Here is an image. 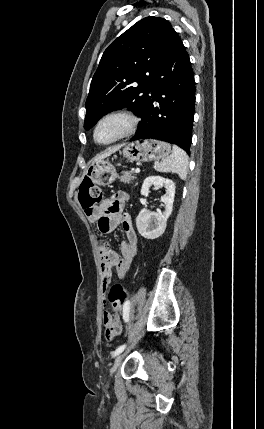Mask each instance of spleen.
Wrapping results in <instances>:
<instances>
[{
	"instance_id": "spleen-1",
	"label": "spleen",
	"mask_w": 264,
	"mask_h": 429,
	"mask_svg": "<svg viewBox=\"0 0 264 429\" xmlns=\"http://www.w3.org/2000/svg\"><path fill=\"white\" fill-rule=\"evenodd\" d=\"M188 156L184 150L173 145L172 154L161 162L154 164V169L158 172H171L177 174L180 179L185 180L188 173Z\"/></svg>"
}]
</instances>
